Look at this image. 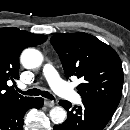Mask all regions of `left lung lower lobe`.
Segmentation results:
<instances>
[{"label": "left lung lower lobe", "instance_id": "1", "mask_svg": "<svg viewBox=\"0 0 130 130\" xmlns=\"http://www.w3.org/2000/svg\"><path fill=\"white\" fill-rule=\"evenodd\" d=\"M59 104L67 110L65 122L55 125L54 130H102L113 115V111L104 105L90 100H82L80 106H71L61 100Z\"/></svg>", "mask_w": 130, "mask_h": 130}]
</instances>
